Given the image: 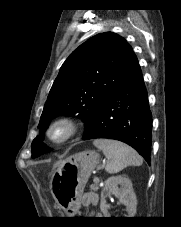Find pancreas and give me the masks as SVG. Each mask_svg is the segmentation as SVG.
<instances>
[{"label": "pancreas", "instance_id": "cf45deb5", "mask_svg": "<svg viewBox=\"0 0 181 227\" xmlns=\"http://www.w3.org/2000/svg\"><path fill=\"white\" fill-rule=\"evenodd\" d=\"M99 189L98 183L91 184L90 185V190L97 191Z\"/></svg>", "mask_w": 181, "mask_h": 227}]
</instances>
